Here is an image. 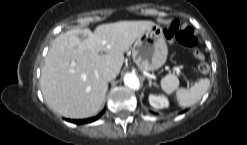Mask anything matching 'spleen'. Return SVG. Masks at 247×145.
<instances>
[{"label": "spleen", "instance_id": "1", "mask_svg": "<svg viewBox=\"0 0 247 145\" xmlns=\"http://www.w3.org/2000/svg\"><path fill=\"white\" fill-rule=\"evenodd\" d=\"M160 83L166 93L176 92V98L181 107H189L200 101L210 86V80L204 78L196 82L190 89L179 88V80L174 74L166 75Z\"/></svg>", "mask_w": 247, "mask_h": 145}]
</instances>
